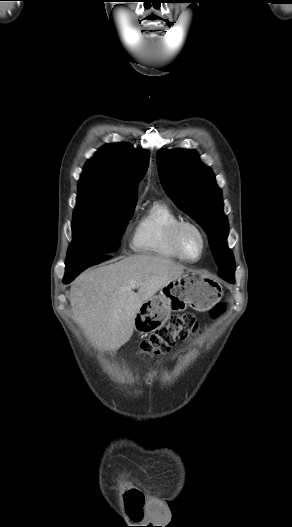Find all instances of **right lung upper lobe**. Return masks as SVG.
<instances>
[{
  "label": "right lung upper lobe",
  "mask_w": 292,
  "mask_h": 527,
  "mask_svg": "<svg viewBox=\"0 0 292 527\" xmlns=\"http://www.w3.org/2000/svg\"><path fill=\"white\" fill-rule=\"evenodd\" d=\"M149 153L127 143L103 146L84 166L78 192H92L108 201H136L138 183L147 171Z\"/></svg>",
  "instance_id": "obj_1"
}]
</instances>
